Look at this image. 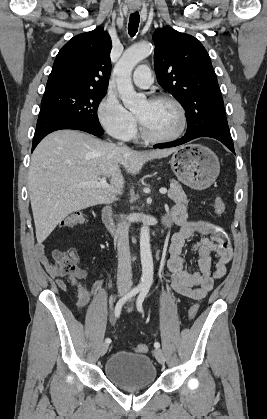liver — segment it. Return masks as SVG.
Returning <instances> with one entry per match:
<instances>
[{"instance_id":"6515ba94","label":"liver","mask_w":267,"mask_h":419,"mask_svg":"<svg viewBox=\"0 0 267 419\" xmlns=\"http://www.w3.org/2000/svg\"><path fill=\"white\" fill-rule=\"evenodd\" d=\"M176 150L138 152L74 130L49 134L34 150L28 172L37 242L41 244L69 214L112 201L124 185L120 166L135 175L147 161ZM101 176L110 178L111 190L81 186Z\"/></svg>"}]
</instances>
